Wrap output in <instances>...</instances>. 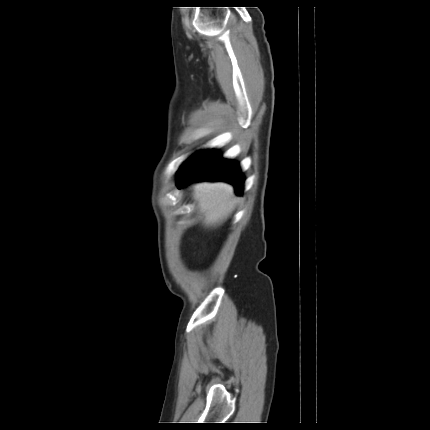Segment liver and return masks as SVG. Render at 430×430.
<instances>
[{
	"label": "liver",
	"mask_w": 430,
	"mask_h": 430,
	"mask_svg": "<svg viewBox=\"0 0 430 430\" xmlns=\"http://www.w3.org/2000/svg\"><path fill=\"white\" fill-rule=\"evenodd\" d=\"M200 209L205 212V224L215 225L222 222L234 208L233 188L224 183L203 184L196 188Z\"/></svg>",
	"instance_id": "1"
}]
</instances>
